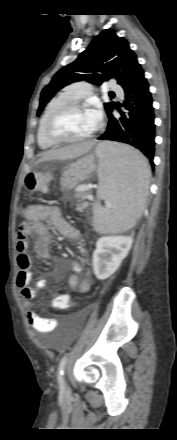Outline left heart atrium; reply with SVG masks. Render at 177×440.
<instances>
[{
    "instance_id": "obj_1",
    "label": "left heart atrium",
    "mask_w": 177,
    "mask_h": 440,
    "mask_svg": "<svg viewBox=\"0 0 177 440\" xmlns=\"http://www.w3.org/2000/svg\"><path fill=\"white\" fill-rule=\"evenodd\" d=\"M89 119L93 130L98 126L101 120V111L99 109H91L88 111Z\"/></svg>"
}]
</instances>
